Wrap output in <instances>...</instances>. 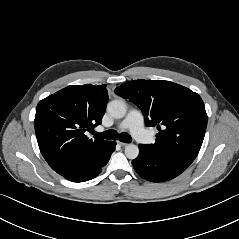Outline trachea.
Here are the masks:
<instances>
[{"instance_id": "1", "label": "trachea", "mask_w": 239, "mask_h": 239, "mask_svg": "<svg viewBox=\"0 0 239 239\" xmlns=\"http://www.w3.org/2000/svg\"><path fill=\"white\" fill-rule=\"evenodd\" d=\"M94 135L97 138H103V139H108V140H119L124 143L132 142V138L129 134L121 133L120 135H118L117 132L114 130H107L102 133L95 132Z\"/></svg>"}]
</instances>
